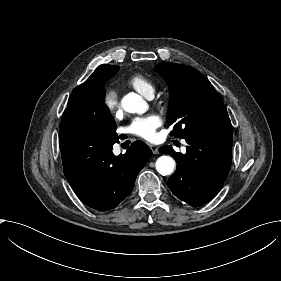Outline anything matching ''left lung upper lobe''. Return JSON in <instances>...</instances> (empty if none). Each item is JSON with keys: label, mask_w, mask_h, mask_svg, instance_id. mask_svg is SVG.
<instances>
[{"label": "left lung upper lobe", "mask_w": 281, "mask_h": 281, "mask_svg": "<svg viewBox=\"0 0 281 281\" xmlns=\"http://www.w3.org/2000/svg\"><path fill=\"white\" fill-rule=\"evenodd\" d=\"M155 68L169 87L167 122L174 124L175 137L232 134L221 97L203 74L170 62H160Z\"/></svg>", "instance_id": "left-lung-upper-lobe-1"}]
</instances>
